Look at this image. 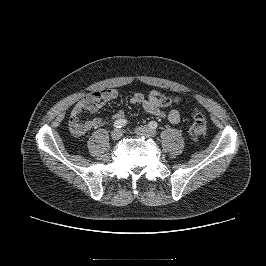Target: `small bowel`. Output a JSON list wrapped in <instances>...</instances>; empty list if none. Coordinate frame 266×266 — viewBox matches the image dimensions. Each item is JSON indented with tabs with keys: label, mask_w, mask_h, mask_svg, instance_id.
<instances>
[{
	"label": "small bowel",
	"mask_w": 266,
	"mask_h": 266,
	"mask_svg": "<svg viewBox=\"0 0 266 266\" xmlns=\"http://www.w3.org/2000/svg\"><path fill=\"white\" fill-rule=\"evenodd\" d=\"M118 97L116 89L108 88L97 90L87 94L80 99L72 108L69 119V129L75 136H83L93 128L99 127L104 119L102 117H94L89 120H81L83 112L91 113L98 112L104 105L110 103ZM165 94L160 91H152L148 96L141 93L133 94L129 98L131 104L140 105L144 114L155 115L159 118H167L172 124H178L181 120L180 113L177 109H172L168 113L165 112L163 99ZM123 111H119L114 115V118H122Z\"/></svg>",
	"instance_id": "obj_1"
}]
</instances>
